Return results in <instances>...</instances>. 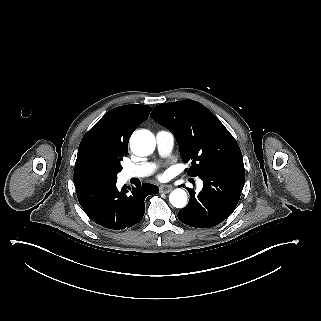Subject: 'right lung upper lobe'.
<instances>
[{
	"mask_svg": "<svg viewBox=\"0 0 321 321\" xmlns=\"http://www.w3.org/2000/svg\"><path fill=\"white\" fill-rule=\"evenodd\" d=\"M147 105H124L107 112L83 137L77 153L74 185L85 180H96L84 164V154L101 148L112 154L128 153V141L137 125L144 122L151 111Z\"/></svg>",
	"mask_w": 321,
	"mask_h": 321,
	"instance_id": "cb5924a9",
	"label": "right lung upper lobe"
}]
</instances>
